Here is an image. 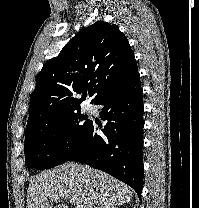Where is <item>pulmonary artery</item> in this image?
I'll return each instance as SVG.
<instances>
[{
	"instance_id": "1",
	"label": "pulmonary artery",
	"mask_w": 199,
	"mask_h": 208,
	"mask_svg": "<svg viewBox=\"0 0 199 208\" xmlns=\"http://www.w3.org/2000/svg\"><path fill=\"white\" fill-rule=\"evenodd\" d=\"M86 108L88 109V108H90V106H89V105H87V106H86Z\"/></svg>"
}]
</instances>
